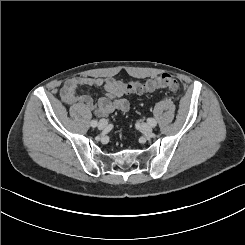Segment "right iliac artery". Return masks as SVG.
<instances>
[{
  "label": "right iliac artery",
  "instance_id": "82829eb1",
  "mask_svg": "<svg viewBox=\"0 0 245 245\" xmlns=\"http://www.w3.org/2000/svg\"><path fill=\"white\" fill-rule=\"evenodd\" d=\"M97 125H98L97 120H92V121H91V126H92V127L95 128Z\"/></svg>",
  "mask_w": 245,
  "mask_h": 245
}]
</instances>
